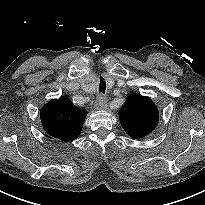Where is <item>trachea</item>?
Wrapping results in <instances>:
<instances>
[{
	"label": "trachea",
	"instance_id": "trachea-1",
	"mask_svg": "<svg viewBox=\"0 0 205 205\" xmlns=\"http://www.w3.org/2000/svg\"><path fill=\"white\" fill-rule=\"evenodd\" d=\"M98 90H99V93H102V94L105 93V90H106V82H105L104 79H102V78H100V82H99V85H98Z\"/></svg>",
	"mask_w": 205,
	"mask_h": 205
}]
</instances>
